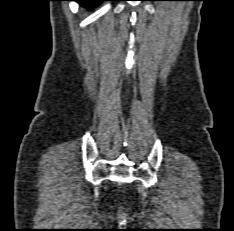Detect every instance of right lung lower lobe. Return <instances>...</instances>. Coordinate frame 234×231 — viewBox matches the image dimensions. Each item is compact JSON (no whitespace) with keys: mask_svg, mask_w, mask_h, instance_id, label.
<instances>
[{"mask_svg":"<svg viewBox=\"0 0 234 231\" xmlns=\"http://www.w3.org/2000/svg\"><path fill=\"white\" fill-rule=\"evenodd\" d=\"M76 1L80 2L82 5L88 8H92L93 6H96L101 1H105V0H76Z\"/></svg>","mask_w":234,"mask_h":231,"instance_id":"right-lung-lower-lobe-1","label":"right lung lower lobe"}]
</instances>
